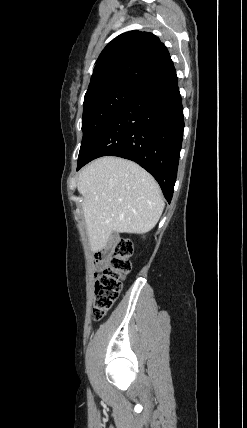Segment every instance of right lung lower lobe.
<instances>
[{
	"label": "right lung lower lobe",
	"mask_w": 247,
	"mask_h": 428,
	"mask_svg": "<svg viewBox=\"0 0 247 428\" xmlns=\"http://www.w3.org/2000/svg\"><path fill=\"white\" fill-rule=\"evenodd\" d=\"M183 129V107L173 67L140 91L105 125L78 159L77 170L105 155L132 160L157 180L170 203Z\"/></svg>",
	"instance_id": "obj_1"
}]
</instances>
